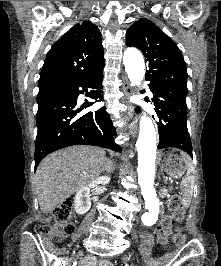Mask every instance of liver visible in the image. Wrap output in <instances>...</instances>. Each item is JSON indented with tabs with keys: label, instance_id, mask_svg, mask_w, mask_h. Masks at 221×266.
<instances>
[{
	"label": "liver",
	"instance_id": "obj_1",
	"mask_svg": "<svg viewBox=\"0 0 221 266\" xmlns=\"http://www.w3.org/2000/svg\"><path fill=\"white\" fill-rule=\"evenodd\" d=\"M105 150L94 146H72L56 151L39 164L34 178L41 211L46 214L106 169Z\"/></svg>",
	"mask_w": 221,
	"mask_h": 266
}]
</instances>
